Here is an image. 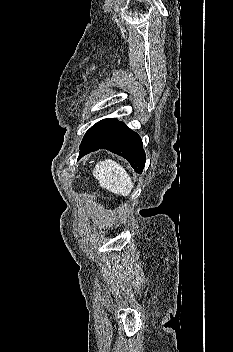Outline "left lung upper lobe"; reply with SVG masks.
Returning <instances> with one entry per match:
<instances>
[{"label": "left lung upper lobe", "mask_w": 233, "mask_h": 352, "mask_svg": "<svg viewBox=\"0 0 233 352\" xmlns=\"http://www.w3.org/2000/svg\"><path fill=\"white\" fill-rule=\"evenodd\" d=\"M116 122H118V120L116 119H103L97 122L96 124H94L85 134L81 142L80 148L83 147L85 144H87L89 141H91L93 138L97 137L108 127L115 124Z\"/></svg>", "instance_id": "1"}]
</instances>
